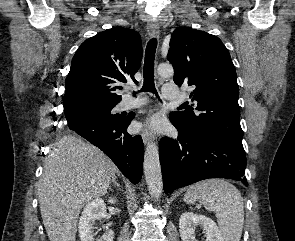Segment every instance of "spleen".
Here are the masks:
<instances>
[{
  "label": "spleen",
  "mask_w": 295,
  "mask_h": 241,
  "mask_svg": "<svg viewBox=\"0 0 295 241\" xmlns=\"http://www.w3.org/2000/svg\"><path fill=\"white\" fill-rule=\"evenodd\" d=\"M184 201L201 202L208 211L218 216L224 241H240L244 223L243 198L239 190L224 179H209L189 187Z\"/></svg>",
  "instance_id": "1"
}]
</instances>
